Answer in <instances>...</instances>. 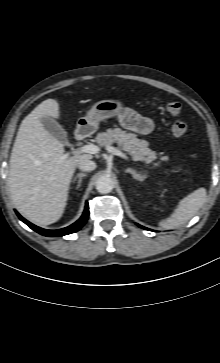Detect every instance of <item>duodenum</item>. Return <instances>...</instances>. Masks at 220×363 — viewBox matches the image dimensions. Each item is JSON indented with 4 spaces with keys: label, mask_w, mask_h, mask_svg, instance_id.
<instances>
[{
    "label": "duodenum",
    "mask_w": 220,
    "mask_h": 363,
    "mask_svg": "<svg viewBox=\"0 0 220 363\" xmlns=\"http://www.w3.org/2000/svg\"><path fill=\"white\" fill-rule=\"evenodd\" d=\"M90 135V128L86 126H81L75 131L76 140H84Z\"/></svg>",
    "instance_id": "410a0bca"
}]
</instances>
